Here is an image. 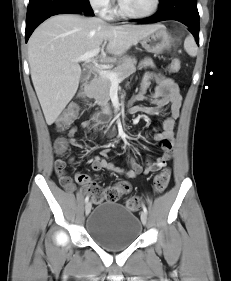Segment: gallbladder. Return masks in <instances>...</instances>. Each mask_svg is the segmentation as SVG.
<instances>
[{"label":"gallbladder","instance_id":"obj_1","mask_svg":"<svg viewBox=\"0 0 231 281\" xmlns=\"http://www.w3.org/2000/svg\"><path fill=\"white\" fill-rule=\"evenodd\" d=\"M88 74L86 72H82L80 80L83 81L87 78Z\"/></svg>","mask_w":231,"mask_h":281}]
</instances>
